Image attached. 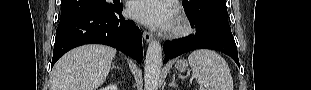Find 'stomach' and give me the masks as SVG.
Masks as SVG:
<instances>
[{
    "instance_id": "1",
    "label": "stomach",
    "mask_w": 311,
    "mask_h": 90,
    "mask_svg": "<svg viewBox=\"0 0 311 90\" xmlns=\"http://www.w3.org/2000/svg\"><path fill=\"white\" fill-rule=\"evenodd\" d=\"M175 68L180 72H184L188 68V63L185 60H179L176 62Z\"/></svg>"
}]
</instances>
